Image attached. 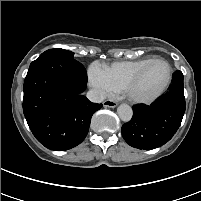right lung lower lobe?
I'll return each instance as SVG.
<instances>
[{
  "label": "right lung lower lobe",
  "mask_w": 201,
  "mask_h": 201,
  "mask_svg": "<svg viewBox=\"0 0 201 201\" xmlns=\"http://www.w3.org/2000/svg\"><path fill=\"white\" fill-rule=\"evenodd\" d=\"M86 83V70L75 59L50 55L30 64L23 112L33 135L46 148L64 151L85 139L92 115L102 107L82 95Z\"/></svg>",
  "instance_id": "right-lung-lower-lobe-1"
}]
</instances>
